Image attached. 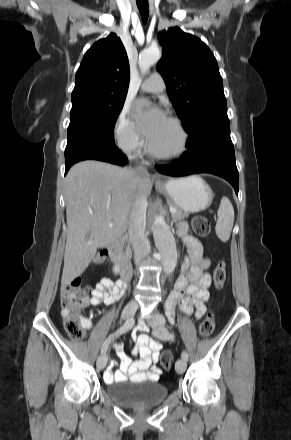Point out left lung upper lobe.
Wrapping results in <instances>:
<instances>
[{"label":"left lung upper lobe","instance_id":"left-lung-upper-lobe-1","mask_svg":"<svg viewBox=\"0 0 291 440\" xmlns=\"http://www.w3.org/2000/svg\"><path fill=\"white\" fill-rule=\"evenodd\" d=\"M163 55L157 70L166 82L167 93L187 142L199 139L208 129L229 125L223 81L217 61L199 38L178 27L158 34Z\"/></svg>","mask_w":291,"mask_h":440}]
</instances>
